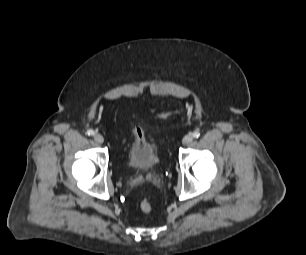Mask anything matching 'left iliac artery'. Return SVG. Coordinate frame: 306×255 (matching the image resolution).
<instances>
[{
  "mask_svg": "<svg viewBox=\"0 0 306 255\" xmlns=\"http://www.w3.org/2000/svg\"><path fill=\"white\" fill-rule=\"evenodd\" d=\"M192 135H193L194 138H198L200 136V132L199 131H195V132H193Z\"/></svg>",
  "mask_w": 306,
  "mask_h": 255,
  "instance_id": "1",
  "label": "left iliac artery"
}]
</instances>
